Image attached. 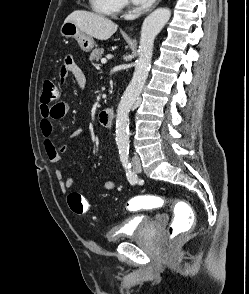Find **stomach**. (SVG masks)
Here are the masks:
<instances>
[{"instance_id": "stomach-1", "label": "stomach", "mask_w": 249, "mask_h": 294, "mask_svg": "<svg viewBox=\"0 0 249 294\" xmlns=\"http://www.w3.org/2000/svg\"><path fill=\"white\" fill-rule=\"evenodd\" d=\"M60 33L65 38H74L84 52H89L94 47L93 37L82 32L73 22L65 21L60 28Z\"/></svg>"}]
</instances>
